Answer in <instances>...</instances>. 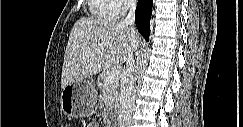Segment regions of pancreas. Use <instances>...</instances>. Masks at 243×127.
Returning a JSON list of instances; mask_svg holds the SVG:
<instances>
[{"instance_id": "obj_1", "label": "pancreas", "mask_w": 243, "mask_h": 127, "mask_svg": "<svg viewBox=\"0 0 243 127\" xmlns=\"http://www.w3.org/2000/svg\"><path fill=\"white\" fill-rule=\"evenodd\" d=\"M107 72H103L97 80V85L103 94V101L106 106V110H110L117 105L118 101V87L119 80H113L109 84L105 82Z\"/></svg>"}]
</instances>
